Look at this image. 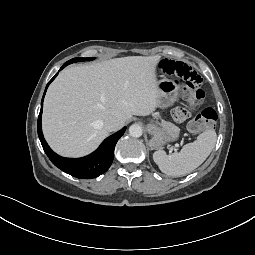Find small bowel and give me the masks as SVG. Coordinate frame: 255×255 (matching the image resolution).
<instances>
[{"label":"small bowel","mask_w":255,"mask_h":255,"mask_svg":"<svg viewBox=\"0 0 255 255\" xmlns=\"http://www.w3.org/2000/svg\"><path fill=\"white\" fill-rule=\"evenodd\" d=\"M172 116L176 122L183 123L189 119L190 113L186 107L179 106L173 110Z\"/></svg>","instance_id":"small-bowel-1"}]
</instances>
